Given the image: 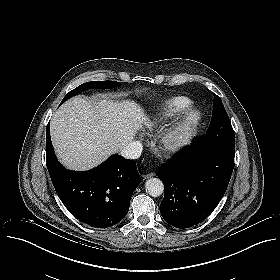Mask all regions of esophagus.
Masks as SVG:
<instances>
[{
	"label": "esophagus",
	"instance_id": "esophagus-1",
	"mask_svg": "<svg viewBox=\"0 0 280 280\" xmlns=\"http://www.w3.org/2000/svg\"><path fill=\"white\" fill-rule=\"evenodd\" d=\"M153 176H155V173L152 172V173L142 175V178L145 180V179L151 178Z\"/></svg>",
	"mask_w": 280,
	"mask_h": 280
}]
</instances>
